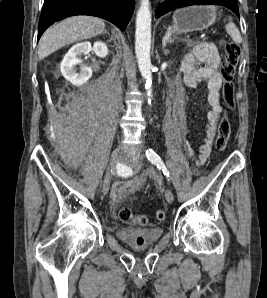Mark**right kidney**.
Wrapping results in <instances>:
<instances>
[{
    "label": "right kidney",
    "instance_id": "1",
    "mask_svg": "<svg viewBox=\"0 0 267 298\" xmlns=\"http://www.w3.org/2000/svg\"><path fill=\"white\" fill-rule=\"evenodd\" d=\"M91 50L100 58L108 55V48L105 43L97 41L92 46L90 42H82L73 45L64 56L61 62V73L66 80L73 85L81 86L92 76L91 67L82 66L80 73H77L76 66L82 64L81 55L88 54Z\"/></svg>",
    "mask_w": 267,
    "mask_h": 298
}]
</instances>
